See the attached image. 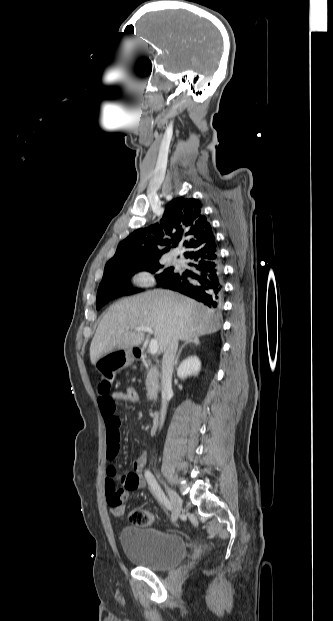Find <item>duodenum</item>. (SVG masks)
Masks as SVG:
<instances>
[{
	"label": "duodenum",
	"instance_id": "obj_1",
	"mask_svg": "<svg viewBox=\"0 0 333 621\" xmlns=\"http://www.w3.org/2000/svg\"><path fill=\"white\" fill-rule=\"evenodd\" d=\"M135 356H136V358H137L138 360H141V361H143V360H145V359H146V355H145V353H144L143 351H140V350L135 351ZM158 425H159L158 420H157V419H155V420L153 421L152 426H151V433H152V434H155V433L157 432Z\"/></svg>",
	"mask_w": 333,
	"mask_h": 621
}]
</instances>
